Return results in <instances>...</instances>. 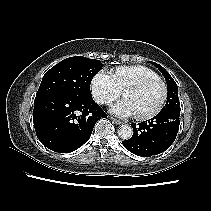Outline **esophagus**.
Listing matches in <instances>:
<instances>
[{
  "instance_id": "esophagus-1",
  "label": "esophagus",
  "mask_w": 211,
  "mask_h": 211,
  "mask_svg": "<svg viewBox=\"0 0 211 211\" xmlns=\"http://www.w3.org/2000/svg\"><path fill=\"white\" fill-rule=\"evenodd\" d=\"M111 120L113 121V123H115L116 125H121L123 124L122 121L118 120V119H115V118H111Z\"/></svg>"
}]
</instances>
